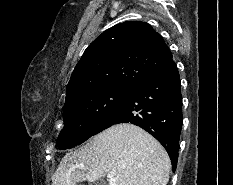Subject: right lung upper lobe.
I'll return each instance as SVG.
<instances>
[{
	"label": "right lung upper lobe",
	"instance_id": "right-lung-upper-lobe-1",
	"mask_svg": "<svg viewBox=\"0 0 233 185\" xmlns=\"http://www.w3.org/2000/svg\"><path fill=\"white\" fill-rule=\"evenodd\" d=\"M173 63L163 38L145 23L127 21L103 32L85 50L67 85L65 104L105 89H132Z\"/></svg>",
	"mask_w": 233,
	"mask_h": 185
}]
</instances>
